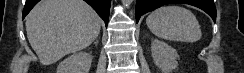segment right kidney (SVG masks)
<instances>
[{
	"label": "right kidney",
	"instance_id": "1",
	"mask_svg": "<svg viewBox=\"0 0 244 73\" xmlns=\"http://www.w3.org/2000/svg\"><path fill=\"white\" fill-rule=\"evenodd\" d=\"M92 62L91 53H75L57 66V73H89Z\"/></svg>",
	"mask_w": 244,
	"mask_h": 73
}]
</instances>
